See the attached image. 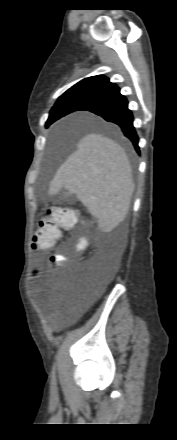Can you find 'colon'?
<instances>
[{
	"instance_id": "obj_1",
	"label": "colon",
	"mask_w": 177,
	"mask_h": 440,
	"mask_svg": "<svg viewBox=\"0 0 177 440\" xmlns=\"http://www.w3.org/2000/svg\"><path fill=\"white\" fill-rule=\"evenodd\" d=\"M78 222L77 212L68 207L54 206L47 215L38 221V227L33 240L34 249L44 250L55 246L62 230L72 229ZM86 240L78 243L80 249H84ZM63 258L60 255H51L49 262L52 266L60 267Z\"/></svg>"
}]
</instances>
